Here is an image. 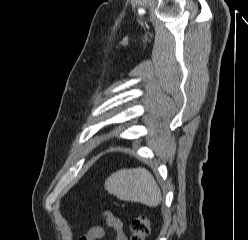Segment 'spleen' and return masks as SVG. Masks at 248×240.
<instances>
[{"label": "spleen", "mask_w": 248, "mask_h": 240, "mask_svg": "<svg viewBox=\"0 0 248 240\" xmlns=\"http://www.w3.org/2000/svg\"><path fill=\"white\" fill-rule=\"evenodd\" d=\"M105 189L123 201L139 202L157 207L161 191L152 174L145 168L121 169L105 181Z\"/></svg>", "instance_id": "obj_1"}]
</instances>
